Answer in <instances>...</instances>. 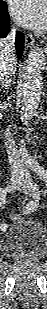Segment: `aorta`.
Masks as SVG:
<instances>
[{
  "mask_svg": "<svg viewBox=\"0 0 47 309\" xmlns=\"http://www.w3.org/2000/svg\"><path fill=\"white\" fill-rule=\"evenodd\" d=\"M44 54L35 47L28 55L22 79L21 122L26 125L36 113L43 89ZM23 143V142H22ZM23 157L31 158L24 145L20 148Z\"/></svg>",
  "mask_w": 47,
  "mask_h": 309,
  "instance_id": "1",
  "label": "aorta"
}]
</instances>
